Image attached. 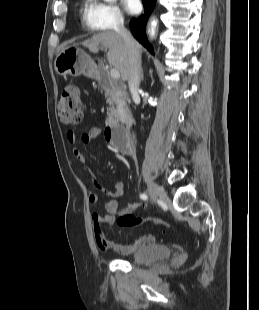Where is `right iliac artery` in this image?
I'll list each match as a JSON object with an SVG mask.
<instances>
[{
  "label": "right iliac artery",
  "instance_id": "obj_1",
  "mask_svg": "<svg viewBox=\"0 0 259 310\" xmlns=\"http://www.w3.org/2000/svg\"><path fill=\"white\" fill-rule=\"evenodd\" d=\"M140 198L143 199V200H147L148 196H147V194L143 193V194L140 195Z\"/></svg>",
  "mask_w": 259,
  "mask_h": 310
}]
</instances>
